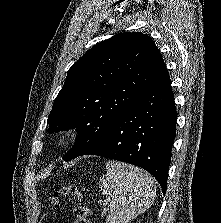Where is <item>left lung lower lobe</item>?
Segmentation results:
<instances>
[{
    "instance_id": "obj_1",
    "label": "left lung lower lobe",
    "mask_w": 221,
    "mask_h": 223,
    "mask_svg": "<svg viewBox=\"0 0 221 223\" xmlns=\"http://www.w3.org/2000/svg\"><path fill=\"white\" fill-rule=\"evenodd\" d=\"M176 119L174 94L164 65L151 86L79 156L93 154L141 167L156 178L165 194Z\"/></svg>"
}]
</instances>
